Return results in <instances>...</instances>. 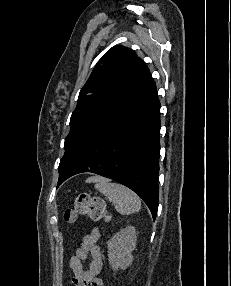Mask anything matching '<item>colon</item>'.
Wrapping results in <instances>:
<instances>
[{
    "mask_svg": "<svg viewBox=\"0 0 231 286\" xmlns=\"http://www.w3.org/2000/svg\"><path fill=\"white\" fill-rule=\"evenodd\" d=\"M79 216L87 217L94 221L108 218L105 202L96 196L88 193H81L77 196L73 205L64 212L65 222L72 224Z\"/></svg>",
    "mask_w": 231,
    "mask_h": 286,
    "instance_id": "colon-1",
    "label": "colon"
}]
</instances>
